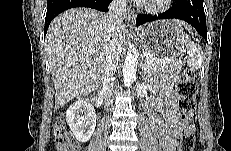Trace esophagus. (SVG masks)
<instances>
[{"label":"esophagus","instance_id":"obj_1","mask_svg":"<svg viewBox=\"0 0 231 151\" xmlns=\"http://www.w3.org/2000/svg\"><path fill=\"white\" fill-rule=\"evenodd\" d=\"M125 18L127 23L134 24L136 18L135 11L131 8H128Z\"/></svg>","mask_w":231,"mask_h":151}]
</instances>
